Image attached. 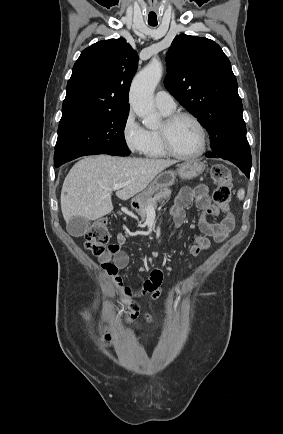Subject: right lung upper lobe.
<instances>
[{"label":"right lung upper lobe","instance_id":"obj_1","mask_svg":"<svg viewBox=\"0 0 283 434\" xmlns=\"http://www.w3.org/2000/svg\"><path fill=\"white\" fill-rule=\"evenodd\" d=\"M138 65L125 39L99 41L81 52L67 83L62 117L129 111L128 92Z\"/></svg>","mask_w":283,"mask_h":434}]
</instances>
